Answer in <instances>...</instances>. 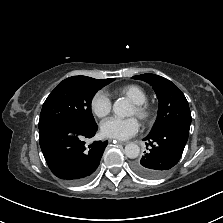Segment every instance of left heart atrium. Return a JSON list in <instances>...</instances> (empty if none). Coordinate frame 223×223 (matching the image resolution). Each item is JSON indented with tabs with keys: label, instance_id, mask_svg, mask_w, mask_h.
I'll return each instance as SVG.
<instances>
[{
	"label": "left heart atrium",
	"instance_id": "left-heart-atrium-1",
	"mask_svg": "<svg viewBox=\"0 0 223 223\" xmlns=\"http://www.w3.org/2000/svg\"><path fill=\"white\" fill-rule=\"evenodd\" d=\"M139 130V122L135 117L130 118H110L101 125V131L104 136L126 140L136 134Z\"/></svg>",
	"mask_w": 223,
	"mask_h": 223
}]
</instances>
